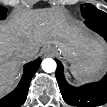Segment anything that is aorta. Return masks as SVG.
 I'll return each mask as SVG.
<instances>
[{
    "instance_id": "762f6f07",
    "label": "aorta",
    "mask_w": 107,
    "mask_h": 107,
    "mask_svg": "<svg viewBox=\"0 0 107 107\" xmlns=\"http://www.w3.org/2000/svg\"><path fill=\"white\" fill-rule=\"evenodd\" d=\"M41 67L44 72L46 73H52L56 70L57 64L54 59L52 58H46L42 61Z\"/></svg>"
}]
</instances>
